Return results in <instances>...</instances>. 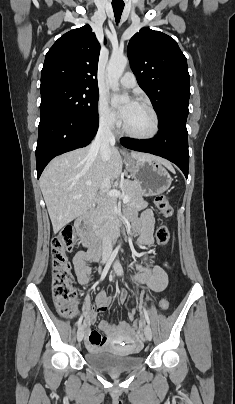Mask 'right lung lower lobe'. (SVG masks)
Segmentation results:
<instances>
[{
	"instance_id": "1",
	"label": "right lung lower lobe",
	"mask_w": 235,
	"mask_h": 404,
	"mask_svg": "<svg viewBox=\"0 0 235 404\" xmlns=\"http://www.w3.org/2000/svg\"><path fill=\"white\" fill-rule=\"evenodd\" d=\"M98 125V114L90 118L63 113L40 116L36 148L38 178L55 156L87 146L94 138Z\"/></svg>"
}]
</instances>
